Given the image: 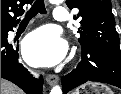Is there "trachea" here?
Segmentation results:
<instances>
[{"instance_id":"1","label":"trachea","mask_w":121,"mask_h":94,"mask_svg":"<svg viewBox=\"0 0 121 94\" xmlns=\"http://www.w3.org/2000/svg\"><path fill=\"white\" fill-rule=\"evenodd\" d=\"M38 13L46 14V8L43 0H36L30 10L26 13L25 17L23 18L22 22H29L35 15Z\"/></svg>"}]
</instances>
